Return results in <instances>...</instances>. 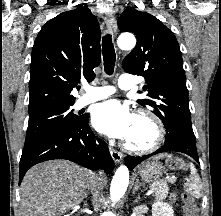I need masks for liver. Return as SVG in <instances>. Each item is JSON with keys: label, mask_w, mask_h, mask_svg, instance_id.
I'll return each mask as SVG.
<instances>
[{"label": "liver", "mask_w": 221, "mask_h": 216, "mask_svg": "<svg viewBox=\"0 0 221 216\" xmlns=\"http://www.w3.org/2000/svg\"><path fill=\"white\" fill-rule=\"evenodd\" d=\"M88 173L79 165L53 160L32 167L20 186L22 216H59L80 205Z\"/></svg>", "instance_id": "6515ba94"}]
</instances>
